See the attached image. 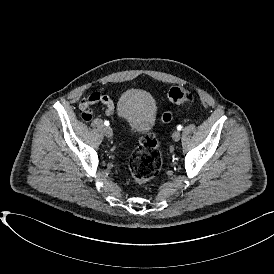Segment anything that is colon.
Masks as SVG:
<instances>
[{
    "label": "colon",
    "mask_w": 274,
    "mask_h": 274,
    "mask_svg": "<svg viewBox=\"0 0 274 274\" xmlns=\"http://www.w3.org/2000/svg\"><path fill=\"white\" fill-rule=\"evenodd\" d=\"M168 100L174 105L194 104L196 98L189 90L182 87H174L168 92ZM163 123H169L173 119L170 111H165L161 117ZM162 167V157L158 149V143L152 132H149L140 145L133 151L129 162L131 176L136 182L143 183L150 180Z\"/></svg>",
    "instance_id": "obj_1"
}]
</instances>
